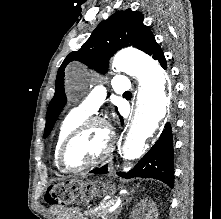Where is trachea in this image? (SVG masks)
<instances>
[{
  "instance_id": "3493384b",
  "label": "trachea",
  "mask_w": 221,
  "mask_h": 219,
  "mask_svg": "<svg viewBox=\"0 0 221 219\" xmlns=\"http://www.w3.org/2000/svg\"><path fill=\"white\" fill-rule=\"evenodd\" d=\"M128 95H132L130 92L127 93Z\"/></svg>"
}]
</instances>
